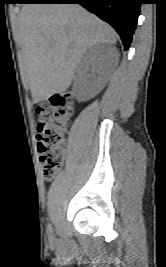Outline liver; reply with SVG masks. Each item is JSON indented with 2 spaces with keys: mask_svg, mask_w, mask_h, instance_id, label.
Listing matches in <instances>:
<instances>
[{
  "mask_svg": "<svg viewBox=\"0 0 166 267\" xmlns=\"http://www.w3.org/2000/svg\"><path fill=\"white\" fill-rule=\"evenodd\" d=\"M16 41L38 103L66 91L86 50L98 43L115 44L117 34L78 4L31 3L22 7Z\"/></svg>",
  "mask_w": 166,
  "mask_h": 267,
  "instance_id": "1",
  "label": "liver"
}]
</instances>
